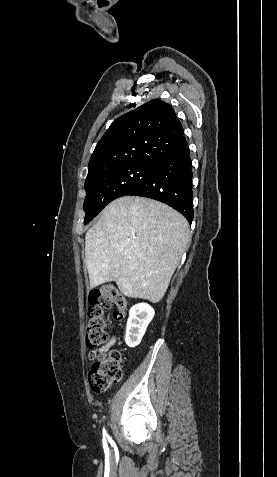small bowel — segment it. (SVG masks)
<instances>
[{"label":"small bowel","instance_id":"obj_1","mask_svg":"<svg viewBox=\"0 0 277 477\" xmlns=\"http://www.w3.org/2000/svg\"><path fill=\"white\" fill-rule=\"evenodd\" d=\"M116 341L117 338L115 336H111L105 345L96 349H92L88 354L89 360L95 361L107 355L110 351V348L116 343Z\"/></svg>","mask_w":277,"mask_h":477}]
</instances>
